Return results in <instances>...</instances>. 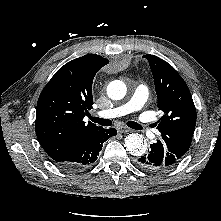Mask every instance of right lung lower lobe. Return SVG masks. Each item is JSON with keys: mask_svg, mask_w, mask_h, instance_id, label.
Wrapping results in <instances>:
<instances>
[{"mask_svg": "<svg viewBox=\"0 0 221 221\" xmlns=\"http://www.w3.org/2000/svg\"><path fill=\"white\" fill-rule=\"evenodd\" d=\"M115 128H100L95 131L89 138L80 143L70 152L56 160V164L66 170H82L91 166L98 158L102 150L103 143L110 137L115 136Z\"/></svg>", "mask_w": 221, "mask_h": 221, "instance_id": "98d812e1", "label": "right lung lower lobe"}]
</instances>
